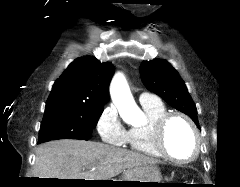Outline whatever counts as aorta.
Listing matches in <instances>:
<instances>
[{"label": "aorta", "mask_w": 240, "mask_h": 187, "mask_svg": "<svg viewBox=\"0 0 240 187\" xmlns=\"http://www.w3.org/2000/svg\"><path fill=\"white\" fill-rule=\"evenodd\" d=\"M111 99L120 115L127 121L135 123L143 118V114L137 107L125 77L117 73L110 85Z\"/></svg>", "instance_id": "aorta-1"}]
</instances>
